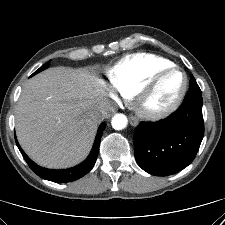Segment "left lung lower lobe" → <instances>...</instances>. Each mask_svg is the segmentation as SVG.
Returning <instances> with one entry per match:
<instances>
[{"instance_id":"1","label":"left lung lower lobe","mask_w":225,"mask_h":225,"mask_svg":"<svg viewBox=\"0 0 225 225\" xmlns=\"http://www.w3.org/2000/svg\"><path fill=\"white\" fill-rule=\"evenodd\" d=\"M201 92L189 91L179 109L158 122H142L134 139L135 159L147 173L168 176L195 158L204 135Z\"/></svg>"}]
</instances>
